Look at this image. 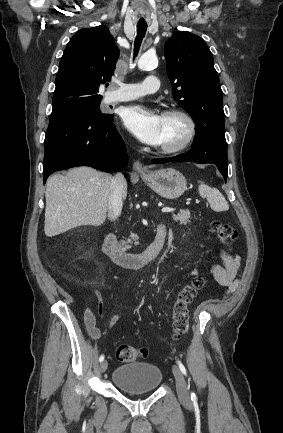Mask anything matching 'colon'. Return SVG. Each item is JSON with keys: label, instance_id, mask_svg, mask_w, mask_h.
I'll list each match as a JSON object with an SVG mask.
<instances>
[{"label": "colon", "instance_id": "obj_1", "mask_svg": "<svg viewBox=\"0 0 283 433\" xmlns=\"http://www.w3.org/2000/svg\"><path fill=\"white\" fill-rule=\"evenodd\" d=\"M212 228L217 238L225 245H231L238 237V232L234 227L221 221H214ZM204 283V277L198 276L177 292L172 310V327L175 339H181L187 333L190 321L189 307L194 302ZM147 354L148 350L145 347L128 344H120L115 350L116 358L123 362L137 361L146 357Z\"/></svg>", "mask_w": 283, "mask_h": 433}]
</instances>
